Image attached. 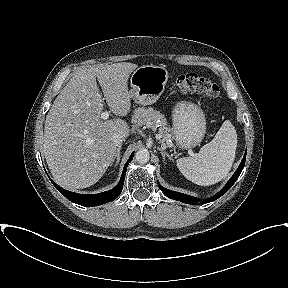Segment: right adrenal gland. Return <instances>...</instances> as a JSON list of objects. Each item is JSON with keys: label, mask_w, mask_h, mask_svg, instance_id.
<instances>
[{"label": "right adrenal gland", "mask_w": 288, "mask_h": 288, "mask_svg": "<svg viewBox=\"0 0 288 288\" xmlns=\"http://www.w3.org/2000/svg\"><path fill=\"white\" fill-rule=\"evenodd\" d=\"M121 148H122V145H119L118 148H117L116 156H115V158H114V160L116 159V161H115V166H116V165L119 163V161H120V157H121L120 150H121ZM114 160H113V161H114Z\"/></svg>", "instance_id": "right-adrenal-gland-1"}]
</instances>
